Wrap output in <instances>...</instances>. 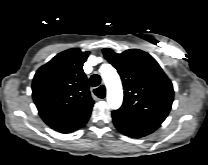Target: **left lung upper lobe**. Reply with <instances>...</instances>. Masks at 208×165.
I'll return each instance as SVG.
<instances>
[{"label":"left lung upper lobe","mask_w":208,"mask_h":165,"mask_svg":"<svg viewBox=\"0 0 208 165\" xmlns=\"http://www.w3.org/2000/svg\"><path fill=\"white\" fill-rule=\"evenodd\" d=\"M105 58L117 69L124 87V101L117 112L161 124L173 102V85L157 61L139 49L121 54L103 49Z\"/></svg>","instance_id":"5c2ea615"}]
</instances>
